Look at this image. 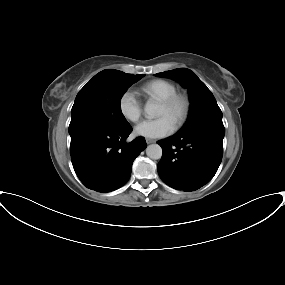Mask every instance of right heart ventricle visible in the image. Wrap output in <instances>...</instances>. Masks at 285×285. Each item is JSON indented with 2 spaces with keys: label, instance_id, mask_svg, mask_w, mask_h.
<instances>
[{
  "label": "right heart ventricle",
  "instance_id": "obj_1",
  "mask_svg": "<svg viewBox=\"0 0 285 285\" xmlns=\"http://www.w3.org/2000/svg\"><path fill=\"white\" fill-rule=\"evenodd\" d=\"M139 91L149 98L161 101L175 93L177 86L172 81L166 79H154L143 84Z\"/></svg>",
  "mask_w": 285,
  "mask_h": 285
}]
</instances>
